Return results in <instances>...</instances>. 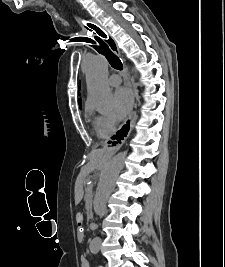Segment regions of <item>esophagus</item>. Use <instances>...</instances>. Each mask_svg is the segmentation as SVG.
<instances>
[{
	"mask_svg": "<svg viewBox=\"0 0 225 267\" xmlns=\"http://www.w3.org/2000/svg\"><path fill=\"white\" fill-rule=\"evenodd\" d=\"M97 26L106 34V39L108 41L111 40V43L110 44L108 43L110 49L112 51H114L120 57V59L122 61V64H123V72H124L125 84L130 88V91H131V94H132V98H133L132 110H131L127 120L125 121L123 139L121 141H119L118 143H116V144H113V143L108 144L106 142V144L103 146L104 152L107 153L108 155L112 156L117 150H119V148L122 146V144L124 143L126 138L129 136V134H130V132H131V130L133 128V125H134V122H135V110L134 109L136 108V103H135L136 90H135V88L133 87V85L131 83L127 66L125 65L123 59L121 58V55H120V52H119V48H118V45H117L116 41L108 35L106 30H104L99 25H97Z\"/></svg>",
	"mask_w": 225,
	"mask_h": 267,
	"instance_id": "esophagus-1",
	"label": "esophagus"
}]
</instances>
